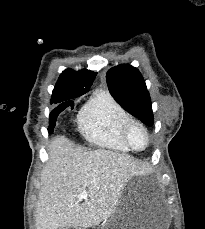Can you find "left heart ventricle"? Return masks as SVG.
<instances>
[{
    "label": "left heart ventricle",
    "mask_w": 205,
    "mask_h": 229,
    "mask_svg": "<svg viewBox=\"0 0 205 229\" xmlns=\"http://www.w3.org/2000/svg\"><path fill=\"white\" fill-rule=\"evenodd\" d=\"M130 138L133 145L137 148H142L145 145V136L141 129L135 127L130 133Z\"/></svg>",
    "instance_id": "1"
}]
</instances>
